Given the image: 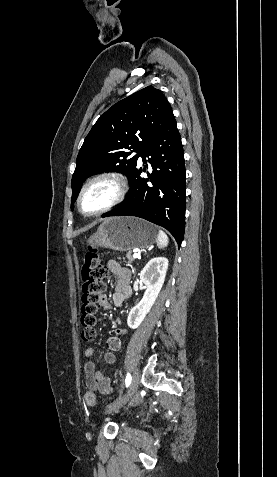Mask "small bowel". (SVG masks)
Masks as SVG:
<instances>
[{
  "label": "small bowel",
  "instance_id": "obj_1",
  "mask_svg": "<svg viewBox=\"0 0 277 477\" xmlns=\"http://www.w3.org/2000/svg\"><path fill=\"white\" fill-rule=\"evenodd\" d=\"M107 269L117 277L115 291L113 293V303L116 306L122 305L131 293L130 271L122 267L116 261H109L106 265ZM100 306L104 310H109L111 304L106 296H103ZM126 334V330L122 328L116 329L115 333L106 339L108 351L104 354L106 363L113 365L116 363L115 353L121 349V336ZM94 354L93 348H87L84 352L86 359ZM86 385L90 390L97 391L102 394H109L113 390L112 382L109 376L96 369V364L87 360L84 365Z\"/></svg>",
  "mask_w": 277,
  "mask_h": 477
}]
</instances>
